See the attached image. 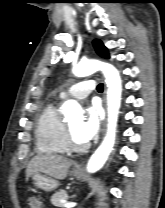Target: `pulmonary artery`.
<instances>
[{"mask_svg":"<svg viewBox=\"0 0 165 208\" xmlns=\"http://www.w3.org/2000/svg\"><path fill=\"white\" fill-rule=\"evenodd\" d=\"M95 87L96 83L94 80L82 81L73 85L67 91L62 92L60 98L84 99L90 95V93L95 89Z\"/></svg>","mask_w":165,"mask_h":208,"instance_id":"e3ab8cb5","label":"pulmonary artery"}]
</instances>
